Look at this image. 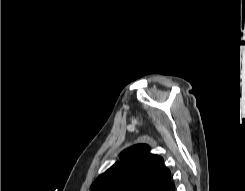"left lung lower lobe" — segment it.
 Masks as SVG:
<instances>
[{
	"label": "left lung lower lobe",
	"mask_w": 245,
	"mask_h": 191,
	"mask_svg": "<svg viewBox=\"0 0 245 191\" xmlns=\"http://www.w3.org/2000/svg\"><path fill=\"white\" fill-rule=\"evenodd\" d=\"M160 191H176L173 180L171 179V181L168 182Z\"/></svg>",
	"instance_id": "1"
}]
</instances>
